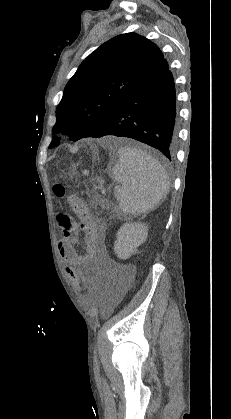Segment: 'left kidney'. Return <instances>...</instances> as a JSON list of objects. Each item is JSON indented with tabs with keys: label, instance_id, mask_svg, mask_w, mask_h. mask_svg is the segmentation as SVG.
Returning a JSON list of instances; mask_svg holds the SVG:
<instances>
[{
	"label": "left kidney",
	"instance_id": "1",
	"mask_svg": "<svg viewBox=\"0 0 231 419\" xmlns=\"http://www.w3.org/2000/svg\"><path fill=\"white\" fill-rule=\"evenodd\" d=\"M148 226L140 222H126L117 232L114 252L120 259H127L137 252V248L147 239Z\"/></svg>",
	"mask_w": 231,
	"mask_h": 419
}]
</instances>
